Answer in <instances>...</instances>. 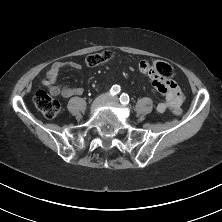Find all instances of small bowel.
Returning <instances> with one entry per match:
<instances>
[{"label": "small bowel", "mask_w": 222, "mask_h": 222, "mask_svg": "<svg viewBox=\"0 0 222 222\" xmlns=\"http://www.w3.org/2000/svg\"><path fill=\"white\" fill-rule=\"evenodd\" d=\"M64 68H71L81 70L82 65L75 61L63 62L57 61L53 63L46 72V77L42 81L43 85L54 96H61L68 98L71 96L81 95L83 89L80 87H70L68 85H58L56 80ZM139 71L149 77L155 88L165 96V100L157 105V111L164 113L170 109H180L183 103V94L179 86L172 80L166 81V78L156 72L151 64L148 62H141Z\"/></svg>", "instance_id": "1"}]
</instances>
